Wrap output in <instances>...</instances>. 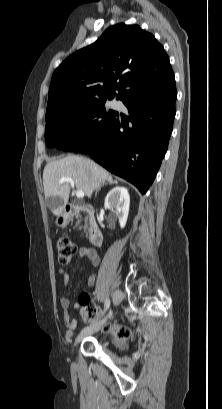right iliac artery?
<instances>
[{
    "label": "right iliac artery",
    "instance_id": "82829eb1",
    "mask_svg": "<svg viewBox=\"0 0 222 409\" xmlns=\"http://www.w3.org/2000/svg\"><path fill=\"white\" fill-rule=\"evenodd\" d=\"M109 306H110V300L107 298L104 304V311H106L109 308ZM93 322H95V320Z\"/></svg>",
    "mask_w": 222,
    "mask_h": 409
}]
</instances>
